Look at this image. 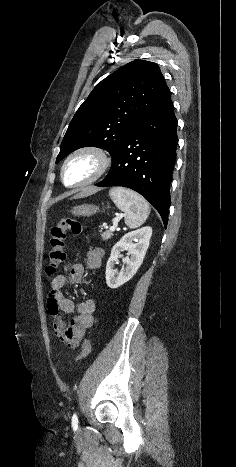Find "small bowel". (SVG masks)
I'll use <instances>...</instances> for the list:
<instances>
[{"label":"small bowel","mask_w":236,"mask_h":467,"mask_svg":"<svg viewBox=\"0 0 236 467\" xmlns=\"http://www.w3.org/2000/svg\"><path fill=\"white\" fill-rule=\"evenodd\" d=\"M103 253L101 250L90 251L86 255V265L90 270H97L101 266ZM85 268L80 263H71L65 266L64 272L55 276L50 283L47 297V311L52 319L54 334L68 347L75 348L94 323L95 302L86 299L76 305L67 298L63 288L70 279L73 283H80L84 278ZM62 313L76 315L67 324L61 317Z\"/></svg>","instance_id":"1"}]
</instances>
